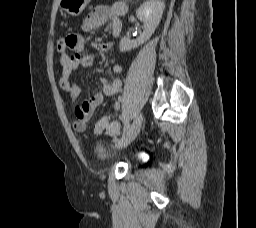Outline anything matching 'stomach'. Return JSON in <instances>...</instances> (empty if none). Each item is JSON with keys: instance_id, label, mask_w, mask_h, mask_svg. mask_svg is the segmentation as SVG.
I'll return each mask as SVG.
<instances>
[{"instance_id": "1", "label": "stomach", "mask_w": 256, "mask_h": 228, "mask_svg": "<svg viewBox=\"0 0 256 228\" xmlns=\"http://www.w3.org/2000/svg\"><path fill=\"white\" fill-rule=\"evenodd\" d=\"M89 2L90 0H60V5L67 14L77 16L85 9Z\"/></svg>"}]
</instances>
